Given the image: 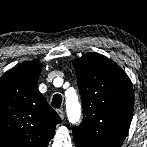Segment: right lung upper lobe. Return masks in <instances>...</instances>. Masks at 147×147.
<instances>
[{
  "mask_svg": "<svg viewBox=\"0 0 147 147\" xmlns=\"http://www.w3.org/2000/svg\"><path fill=\"white\" fill-rule=\"evenodd\" d=\"M42 67L26 62L0 78V147H47L61 122L37 88Z\"/></svg>",
  "mask_w": 147,
  "mask_h": 147,
  "instance_id": "obj_1",
  "label": "right lung upper lobe"
}]
</instances>
